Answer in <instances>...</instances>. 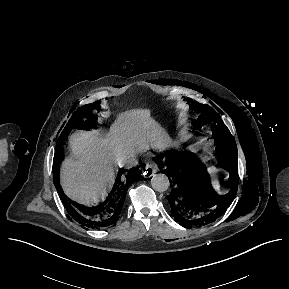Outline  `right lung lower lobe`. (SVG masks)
<instances>
[{"label": "right lung lower lobe", "mask_w": 289, "mask_h": 289, "mask_svg": "<svg viewBox=\"0 0 289 289\" xmlns=\"http://www.w3.org/2000/svg\"><path fill=\"white\" fill-rule=\"evenodd\" d=\"M65 136H60L56 144V153L53 162V179L57 192L68 214L78 223L89 228L113 227L120 218L127 190L133 182L141 180L140 166L130 170L121 169L114 186L106 199L98 205L89 207L73 202L63 193L59 184L58 169L63 156Z\"/></svg>", "instance_id": "obj_1"}]
</instances>
